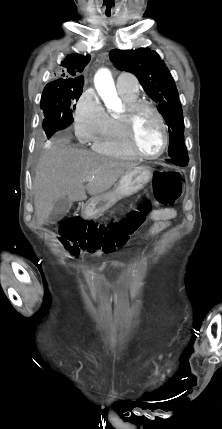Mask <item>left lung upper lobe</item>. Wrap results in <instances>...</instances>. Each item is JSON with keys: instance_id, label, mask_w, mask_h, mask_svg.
I'll use <instances>...</instances> for the list:
<instances>
[{"instance_id": "obj_1", "label": "left lung upper lobe", "mask_w": 222, "mask_h": 429, "mask_svg": "<svg viewBox=\"0 0 222 429\" xmlns=\"http://www.w3.org/2000/svg\"><path fill=\"white\" fill-rule=\"evenodd\" d=\"M115 67L133 73L147 94L159 104L169 128V158L189 161L184 143V121L181 102L175 82L164 62L155 51L113 49L109 53Z\"/></svg>"}]
</instances>
